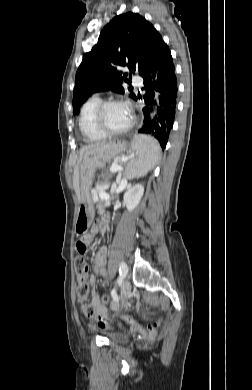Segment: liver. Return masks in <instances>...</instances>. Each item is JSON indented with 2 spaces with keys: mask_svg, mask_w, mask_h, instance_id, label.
I'll return each mask as SVG.
<instances>
[{
  "mask_svg": "<svg viewBox=\"0 0 252 390\" xmlns=\"http://www.w3.org/2000/svg\"><path fill=\"white\" fill-rule=\"evenodd\" d=\"M107 144L105 143H97V144H92L89 146H85L84 148L81 149L80 151V158L79 161L82 160L83 155L86 151L92 150V149H97L106 146ZM74 188L77 194H79V173H78V167L75 170V176H74Z\"/></svg>",
  "mask_w": 252,
  "mask_h": 390,
  "instance_id": "liver-1",
  "label": "liver"
}]
</instances>
